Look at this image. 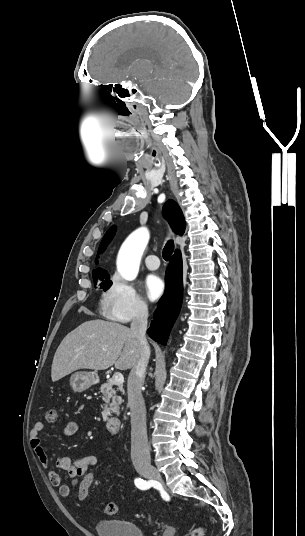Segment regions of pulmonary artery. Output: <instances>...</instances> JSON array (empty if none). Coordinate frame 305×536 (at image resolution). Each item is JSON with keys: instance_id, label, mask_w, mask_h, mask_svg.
Instances as JSON below:
<instances>
[{"instance_id": "obj_1", "label": "pulmonary artery", "mask_w": 305, "mask_h": 536, "mask_svg": "<svg viewBox=\"0 0 305 536\" xmlns=\"http://www.w3.org/2000/svg\"><path fill=\"white\" fill-rule=\"evenodd\" d=\"M158 260H159L158 255L153 254V255L146 256L144 261H145V265L147 266L149 270H157L160 267V264L157 263Z\"/></svg>"}]
</instances>
